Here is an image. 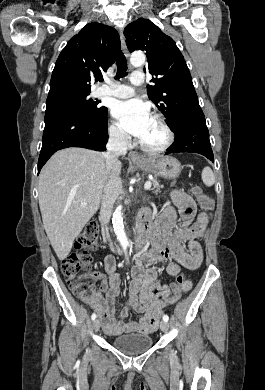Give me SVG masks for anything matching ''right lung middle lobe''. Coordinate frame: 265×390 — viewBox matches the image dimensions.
Masks as SVG:
<instances>
[{"label":"right lung middle lobe","instance_id":"obj_1","mask_svg":"<svg viewBox=\"0 0 265 390\" xmlns=\"http://www.w3.org/2000/svg\"><path fill=\"white\" fill-rule=\"evenodd\" d=\"M85 94H70L46 101L47 112H74L92 120H102L107 116V108L98 106V101H93Z\"/></svg>","mask_w":265,"mask_h":390}]
</instances>
